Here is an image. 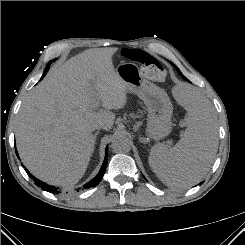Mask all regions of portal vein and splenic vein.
Instances as JSON below:
<instances>
[{
    "instance_id": "1",
    "label": "portal vein and splenic vein",
    "mask_w": 245,
    "mask_h": 245,
    "mask_svg": "<svg viewBox=\"0 0 245 245\" xmlns=\"http://www.w3.org/2000/svg\"><path fill=\"white\" fill-rule=\"evenodd\" d=\"M96 106H97V107L99 106V103H98V102L96 103Z\"/></svg>"
}]
</instances>
